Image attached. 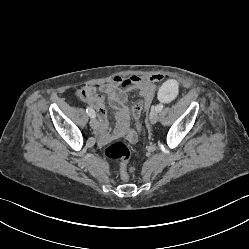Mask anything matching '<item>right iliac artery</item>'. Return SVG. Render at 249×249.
<instances>
[{
  "label": "right iliac artery",
  "mask_w": 249,
  "mask_h": 249,
  "mask_svg": "<svg viewBox=\"0 0 249 249\" xmlns=\"http://www.w3.org/2000/svg\"><path fill=\"white\" fill-rule=\"evenodd\" d=\"M86 112L91 118H95V111L91 107H87Z\"/></svg>",
  "instance_id": "82829eb1"
}]
</instances>
